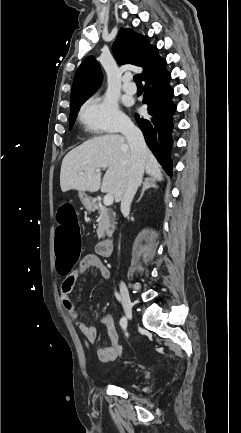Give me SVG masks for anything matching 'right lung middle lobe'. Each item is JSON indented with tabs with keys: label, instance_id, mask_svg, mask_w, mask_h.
<instances>
[{
	"label": "right lung middle lobe",
	"instance_id": "1",
	"mask_svg": "<svg viewBox=\"0 0 241 433\" xmlns=\"http://www.w3.org/2000/svg\"><path fill=\"white\" fill-rule=\"evenodd\" d=\"M86 100L79 101L75 106L71 107L70 115H69V129H71L74 125L75 118L77 117L78 111L81 107V105Z\"/></svg>",
	"mask_w": 241,
	"mask_h": 433
}]
</instances>
